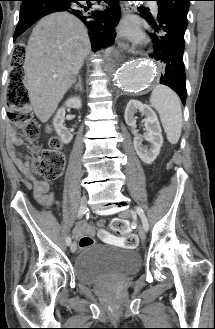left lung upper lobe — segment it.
Instances as JSON below:
<instances>
[{"instance_id": "1", "label": "left lung upper lobe", "mask_w": 215, "mask_h": 329, "mask_svg": "<svg viewBox=\"0 0 215 329\" xmlns=\"http://www.w3.org/2000/svg\"><path fill=\"white\" fill-rule=\"evenodd\" d=\"M158 3V11L169 14L182 24L187 26V13L191 0H155Z\"/></svg>"}]
</instances>
